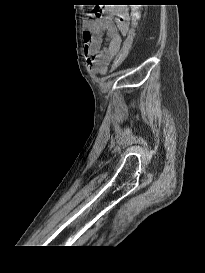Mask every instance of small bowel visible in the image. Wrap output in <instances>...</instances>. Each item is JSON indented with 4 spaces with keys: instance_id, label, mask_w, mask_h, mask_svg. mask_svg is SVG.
<instances>
[{
    "instance_id": "small-bowel-1",
    "label": "small bowel",
    "mask_w": 205,
    "mask_h": 273,
    "mask_svg": "<svg viewBox=\"0 0 205 273\" xmlns=\"http://www.w3.org/2000/svg\"><path fill=\"white\" fill-rule=\"evenodd\" d=\"M98 13V17L84 24V52L90 69L96 74H105L123 39L129 35L134 17L115 6H105Z\"/></svg>"
}]
</instances>
